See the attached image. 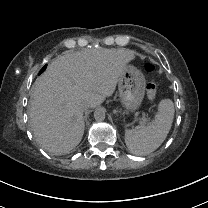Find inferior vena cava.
<instances>
[{
	"mask_svg": "<svg viewBox=\"0 0 208 208\" xmlns=\"http://www.w3.org/2000/svg\"><path fill=\"white\" fill-rule=\"evenodd\" d=\"M88 104L86 103V102H81L80 103V106H79V108H80V110L82 111V112H84V111H86L87 109H88Z\"/></svg>",
	"mask_w": 208,
	"mask_h": 208,
	"instance_id": "1",
	"label": "inferior vena cava"
}]
</instances>
